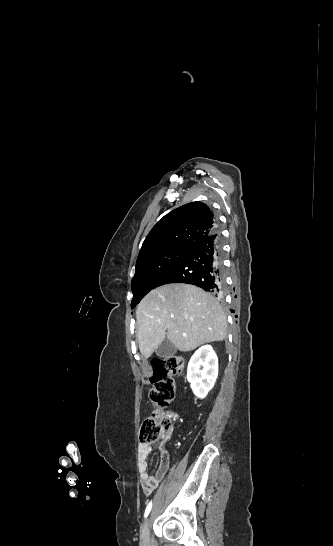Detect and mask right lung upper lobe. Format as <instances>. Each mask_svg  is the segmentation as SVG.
I'll return each mask as SVG.
<instances>
[{
    "label": "right lung upper lobe",
    "instance_id": "cb5924a9",
    "mask_svg": "<svg viewBox=\"0 0 333 546\" xmlns=\"http://www.w3.org/2000/svg\"><path fill=\"white\" fill-rule=\"evenodd\" d=\"M213 211L202 202H191L165 215L144 240L137 263L172 247H193L216 230Z\"/></svg>",
    "mask_w": 333,
    "mask_h": 546
}]
</instances>
